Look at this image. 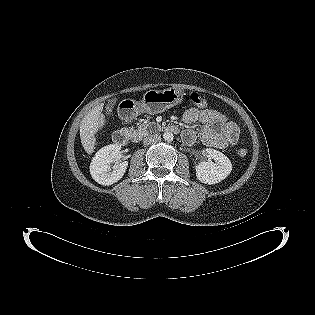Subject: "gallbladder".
<instances>
[{
  "label": "gallbladder",
  "instance_id": "obj_1",
  "mask_svg": "<svg viewBox=\"0 0 315 315\" xmlns=\"http://www.w3.org/2000/svg\"><path fill=\"white\" fill-rule=\"evenodd\" d=\"M112 105H113V103H109V104L107 105V107H106L105 114H106L107 116H110V115H111V112H112Z\"/></svg>",
  "mask_w": 315,
  "mask_h": 315
}]
</instances>
